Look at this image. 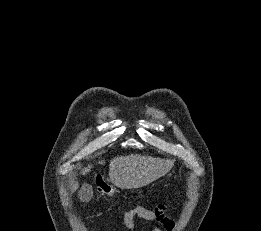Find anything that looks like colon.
<instances>
[{"label":"colon","instance_id":"obj_1","mask_svg":"<svg viewBox=\"0 0 261 231\" xmlns=\"http://www.w3.org/2000/svg\"><path fill=\"white\" fill-rule=\"evenodd\" d=\"M99 193H101L102 195H104L106 197H110L111 196V187L107 183H104L99 187Z\"/></svg>","mask_w":261,"mask_h":231}]
</instances>
